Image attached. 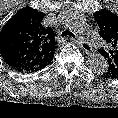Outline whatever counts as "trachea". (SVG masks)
Instances as JSON below:
<instances>
[{
	"mask_svg": "<svg viewBox=\"0 0 118 118\" xmlns=\"http://www.w3.org/2000/svg\"><path fill=\"white\" fill-rule=\"evenodd\" d=\"M61 36L62 37L70 36V37L75 38V35L72 32L68 31V30L63 31Z\"/></svg>",
	"mask_w": 118,
	"mask_h": 118,
	"instance_id": "trachea-1",
	"label": "trachea"
}]
</instances>
